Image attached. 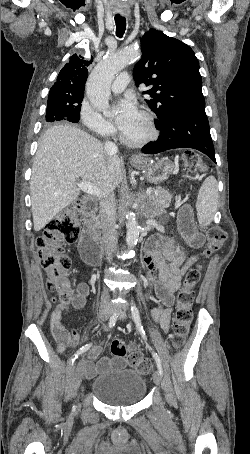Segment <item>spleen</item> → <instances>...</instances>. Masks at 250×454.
Instances as JSON below:
<instances>
[{"label": "spleen", "mask_w": 250, "mask_h": 454, "mask_svg": "<svg viewBox=\"0 0 250 454\" xmlns=\"http://www.w3.org/2000/svg\"><path fill=\"white\" fill-rule=\"evenodd\" d=\"M217 204L218 185L215 177L210 176L200 187L196 202L197 218L201 225L207 226L213 221Z\"/></svg>", "instance_id": "obj_1"}]
</instances>
